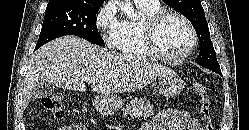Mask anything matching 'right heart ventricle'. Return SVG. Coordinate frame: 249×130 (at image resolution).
<instances>
[{"label": "right heart ventricle", "mask_w": 249, "mask_h": 130, "mask_svg": "<svg viewBox=\"0 0 249 130\" xmlns=\"http://www.w3.org/2000/svg\"><path fill=\"white\" fill-rule=\"evenodd\" d=\"M140 11L138 19H125L120 22L114 46L122 53L133 57H150L143 37V22L149 15L161 10L158 4L135 1Z\"/></svg>", "instance_id": "right-heart-ventricle-1"}]
</instances>
